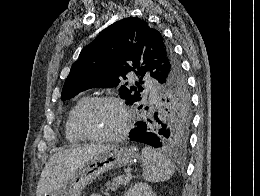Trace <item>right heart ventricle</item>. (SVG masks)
<instances>
[{"label":"right heart ventricle","mask_w":260,"mask_h":196,"mask_svg":"<svg viewBox=\"0 0 260 196\" xmlns=\"http://www.w3.org/2000/svg\"><path fill=\"white\" fill-rule=\"evenodd\" d=\"M87 100L88 97L78 99L68 114L65 124V136L71 144H79L85 140L76 127L75 118L78 110Z\"/></svg>","instance_id":"obj_1"}]
</instances>
